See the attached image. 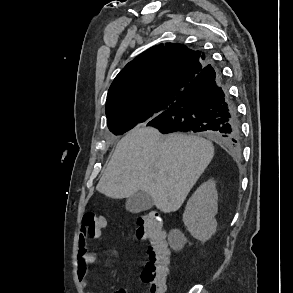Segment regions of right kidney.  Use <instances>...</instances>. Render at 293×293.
I'll list each match as a JSON object with an SVG mask.
<instances>
[{"mask_svg": "<svg viewBox=\"0 0 293 293\" xmlns=\"http://www.w3.org/2000/svg\"><path fill=\"white\" fill-rule=\"evenodd\" d=\"M217 201L218 194L213 180L203 183L188 200L183 222L194 238L207 241L216 232Z\"/></svg>", "mask_w": 293, "mask_h": 293, "instance_id": "right-kidney-1", "label": "right kidney"}]
</instances>
